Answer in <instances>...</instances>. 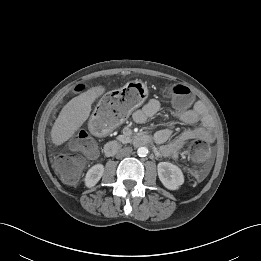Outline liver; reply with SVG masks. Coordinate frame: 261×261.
Masks as SVG:
<instances>
[{"label":"liver","mask_w":261,"mask_h":261,"mask_svg":"<svg viewBox=\"0 0 261 261\" xmlns=\"http://www.w3.org/2000/svg\"><path fill=\"white\" fill-rule=\"evenodd\" d=\"M105 92L102 86L92 87L71 99L61 110L52 130L51 138L55 145L66 142L87 120L93 102Z\"/></svg>","instance_id":"obj_1"}]
</instances>
